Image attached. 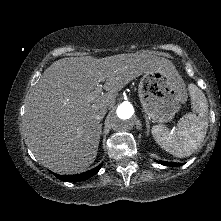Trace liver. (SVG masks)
<instances>
[{
  "label": "liver",
  "instance_id": "6515ba94",
  "mask_svg": "<svg viewBox=\"0 0 221 221\" xmlns=\"http://www.w3.org/2000/svg\"><path fill=\"white\" fill-rule=\"evenodd\" d=\"M170 68L174 66L168 59L145 53L55 61L26 100L23 130L27 145L42 165L56 173L84 171L98 152L97 113L111 106L118 91L136 77ZM101 77L106 79L107 92L90 99Z\"/></svg>",
  "mask_w": 221,
  "mask_h": 221
}]
</instances>
